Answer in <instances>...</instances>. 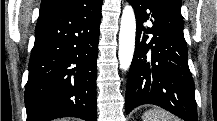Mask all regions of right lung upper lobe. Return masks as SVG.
<instances>
[{
	"mask_svg": "<svg viewBox=\"0 0 217 121\" xmlns=\"http://www.w3.org/2000/svg\"><path fill=\"white\" fill-rule=\"evenodd\" d=\"M84 0H42L39 15L79 6Z\"/></svg>",
	"mask_w": 217,
	"mask_h": 121,
	"instance_id": "right-lung-upper-lobe-1",
	"label": "right lung upper lobe"
}]
</instances>
